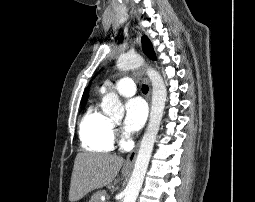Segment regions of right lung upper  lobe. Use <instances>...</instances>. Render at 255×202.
Here are the masks:
<instances>
[{"label": "right lung upper lobe", "mask_w": 255, "mask_h": 202, "mask_svg": "<svg viewBox=\"0 0 255 202\" xmlns=\"http://www.w3.org/2000/svg\"><path fill=\"white\" fill-rule=\"evenodd\" d=\"M87 92H88V88L85 90V92L83 94L81 104H85L86 99H87Z\"/></svg>", "instance_id": "obj_1"}]
</instances>
